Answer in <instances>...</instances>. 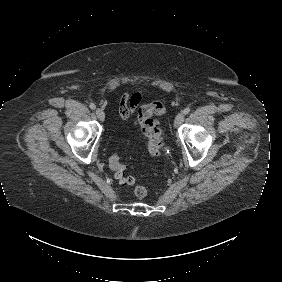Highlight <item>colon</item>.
I'll list each match as a JSON object with an SVG mask.
<instances>
[{
    "instance_id": "obj_1",
    "label": "colon",
    "mask_w": 282,
    "mask_h": 282,
    "mask_svg": "<svg viewBox=\"0 0 282 282\" xmlns=\"http://www.w3.org/2000/svg\"><path fill=\"white\" fill-rule=\"evenodd\" d=\"M164 112V105L161 102H154L151 107L145 105L140 110V123L139 130L143 133L146 140L147 152L150 157H158L161 154L163 148V138L161 132L158 128V124L152 122V113L154 115H161ZM109 167L113 172L115 178L118 182L126 187H131L132 183L137 180L131 176L125 175V165L121 163L119 155L117 153H112L109 157ZM153 176L159 175L158 169L152 170ZM145 178L144 176L142 177ZM149 179L148 177L146 178ZM135 191V196L138 199H142L147 195V188L144 185H139Z\"/></svg>"
}]
</instances>
